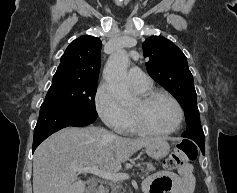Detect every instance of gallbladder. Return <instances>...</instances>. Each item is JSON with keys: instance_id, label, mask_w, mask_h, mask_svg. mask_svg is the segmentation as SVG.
Instances as JSON below:
<instances>
[{"instance_id": "gallbladder-1", "label": "gallbladder", "mask_w": 237, "mask_h": 193, "mask_svg": "<svg viewBox=\"0 0 237 193\" xmlns=\"http://www.w3.org/2000/svg\"><path fill=\"white\" fill-rule=\"evenodd\" d=\"M85 193H89V189H87Z\"/></svg>"}]
</instances>
